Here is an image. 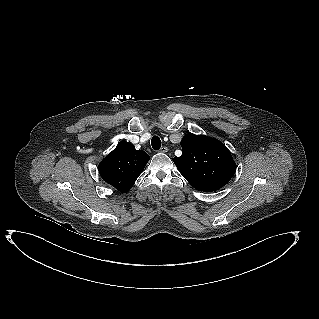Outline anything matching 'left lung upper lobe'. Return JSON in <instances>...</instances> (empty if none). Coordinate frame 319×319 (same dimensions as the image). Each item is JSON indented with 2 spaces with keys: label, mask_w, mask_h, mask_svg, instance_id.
Returning a JSON list of instances; mask_svg holds the SVG:
<instances>
[{
  "label": "left lung upper lobe",
  "mask_w": 319,
  "mask_h": 319,
  "mask_svg": "<svg viewBox=\"0 0 319 319\" xmlns=\"http://www.w3.org/2000/svg\"><path fill=\"white\" fill-rule=\"evenodd\" d=\"M182 155L173 162L197 190L212 192L225 186L235 173L230 151L220 141L189 133L181 140Z\"/></svg>",
  "instance_id": "5c2ea615"
}]
</instances>
